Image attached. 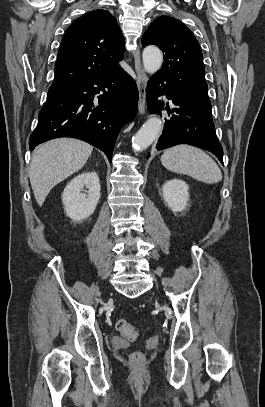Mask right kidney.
I'll list each match as a JSON object with an SVG mask.
<instances>
[{"instance_id": "ca27d5eb", "label": "right kidney", "mask_w": 265, "mask_h": 407, "mask_svg": "<svg viewBox=\"0 0 265 407\" xmlns=\"http://www.w3.org/2000/svg\"><path fill=\"white\" fill-rule=\"evenodd\" d=\"M84 188L87 194L82 193ZM100 199V183L96 172H83L73 178L62 194L64 209L69 218L79 222L93 214Z\"/></svg>"}]
</instances>
